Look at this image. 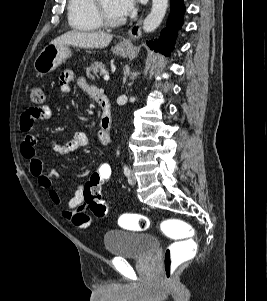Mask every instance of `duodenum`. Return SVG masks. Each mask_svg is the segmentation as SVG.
Instances as JSON below:
<instances>
[{"label":"duodenum","instance_id":"410a0bca","mask_svg":"<svg viewBox=\"0 0 267 301\" xmlns=\"http://www.w3.org/2000/svg\"><path fill=\"white\" fill-rule=\"evenodd\" d=\"M94 100L98 103L101 109V128L108 134H110L112 125L111 106L109 98L101 93L97 92L94 95Z\"/></svg>","mask_w":267,"mask_h":301}]
</instances>
